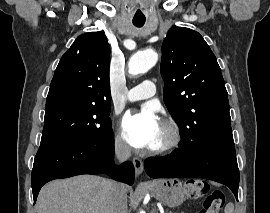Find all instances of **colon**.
<instances>
[{
    "label": "colon",
    "mask_w": 270,
    "mask_h": 213,
    "mask_svg": "<svg viewBox=\"0 0 270 213\" xmlns=\"http://www.w3.org/2000/svg\"><path fill=\"white\" fill-rule=\"evenodd\" d=\"M208 191L207 183L200 179H189L184 184V192L191 199H198ZM225 204V197L221 190H213L204 201L199 213H220Z\"/></svg>",
    "instance_id": "obj_1"
}]
</instances>
